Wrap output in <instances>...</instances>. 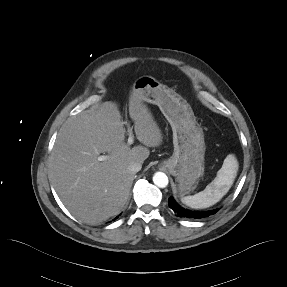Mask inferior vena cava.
<instances>
[{
  "mask_svg": "<svg viewBox=\"0 0 287 287\" xmlns=\"http://www.w3.org/2000/svg\"><path fill=\"white\" fill-rule=\"evenodd\" d=\"M141 168H142V164L139 162H133L128 167V169L133 173H137L138 171L141 170Z\"/></svg>",
  "mask_w": 287,
  "mask_h": 287,
  "instance_id": "inferior-vena-cava-1",
  "label": "inferior vena cava"
}]
</instances>
